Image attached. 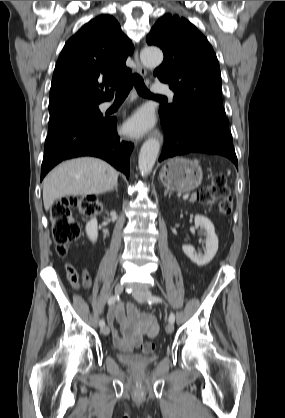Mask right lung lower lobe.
<instances>
[{"label": "right lung lower lobe", "mask_w": 285, "mask_h": 418, "mask_svg": "<svg viewBox=\"0 0 285 418\" xmlns=\"http://www.w3.org/2000/svg\"><path fill=\"white\" fill-rule=\"evenodd\" d=\"M132 149V143L118 137L114 118L63 127L45 140L41 180L59 162L80 156L102 158L129 178Z\"/></svg>", "instance_id": "1"}]
</instances>
